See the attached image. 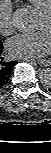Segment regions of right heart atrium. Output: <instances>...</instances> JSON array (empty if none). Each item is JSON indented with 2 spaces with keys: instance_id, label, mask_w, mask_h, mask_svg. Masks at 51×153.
Here are the masks:
<instances>
[{
  "instance_id": "1",
  "label": "right heart atrium",
  "mask_w": 51,
  "mask_h": 153,
  "mask_svg": "<svg viewBox=\"0 0 51 153\" xmlns=\"http://www.w3.org/2000/svg\"><path fill=\"white\" fill-rule=\"evenodd\" d=\"M14 15L11 4L8 0L0 2V33L8 36L14 32Z\"/></svg>"
}]
</instances>
